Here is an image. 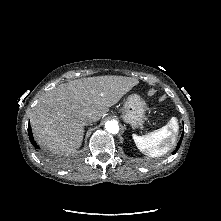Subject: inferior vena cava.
<instances>
[{"label":"inferior vena cava","mask_w":221,"mask_h":221,"mask_svg":"<svg viewBox=\"0 0 221 221\" xmlns=\"http://www.w3.org/2000/svg\"><path fill=\"white\" fill-rule=\"evenodd\" d=\"M93 121H92V118L91 117H86V118H84L83 120H82V124L83 125H88V124H90V123H92Z\"/></svg>","instance_id":"602c4592"}]
</instances>
